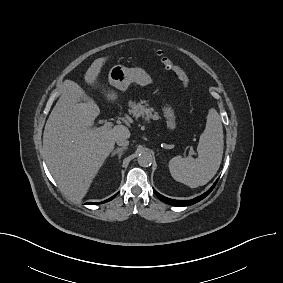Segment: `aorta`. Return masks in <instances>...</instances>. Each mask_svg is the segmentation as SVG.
Returning <instances> with one entry per match:
<instances>
[{
  "label": "aorta",
  "instance_id": "762f6f07",
  "mask_svg": "<svg viewBox=\"0 0 283 283\" xmlns=\"http://www.w3.org/2000/svg\"><path fill=\"white\" fill-rule=\"evenodd\" d=\"M137 161L140 166L148 167L152 163V155L147 151H143L139 154Z\"/></svg>",
  "mask_w": 283,
  "mask_h": 283
}]
</instances>
